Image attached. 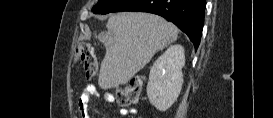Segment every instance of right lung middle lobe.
<instances>
[{"label":"right lung middle lobe","instance_id":"obj_1","mask_svg":"<svg viewBox=\"0 0 273 118\" xmlns=\"http://www.w3.org/2000/svg\"><path fill=\"white\" fill-rule=\"evenodd\" d=\"M126 0H99L93 7L92 12L95 14H108L115 11Z\"/></svg>","mask_w":273,"mask_h":118}]
</instances>
